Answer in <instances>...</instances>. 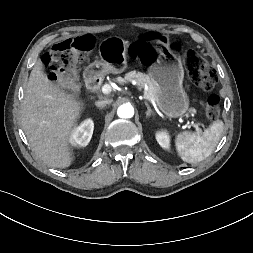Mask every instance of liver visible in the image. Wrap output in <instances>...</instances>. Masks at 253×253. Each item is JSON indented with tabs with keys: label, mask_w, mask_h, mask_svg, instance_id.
<instances>
[{
	"label": "liver",
	"mask_w": 253,
	"mask_h": 253,
	"mask_svg": "<svg viewBox=\"0 0 253 253\" xmlns=\"http://www.w3.org/2000/svg\"><path fill=\"white\" fill-rule=\"evenodd\" d=\"M82 109V101L48 79L41 63L35 64L22 102L21 125L35 155L47 166L71 165L70 136Z\"/></svg>",
	"instance_id": "obj_1"
}]
</instances>
